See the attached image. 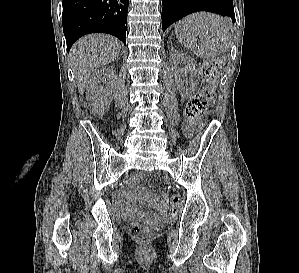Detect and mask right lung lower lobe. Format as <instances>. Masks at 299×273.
Instances as JSON below:
<instances>
[{"mask_svg": "<svg viewBox=\"0 0 299 273\" xmlns=\"http://www.w3.org/2000/svg\"><path fill=\"white\" fill-rule=\"evenodd\" d=\"M129 0H63L62 24L68 51L81 36L108 33L126 45Z\"/></svg>", "mask_w": 299, "mask_h": 273, "instance_id": "obj_1", "label": "right lung lower lobe"}]
</instances>
